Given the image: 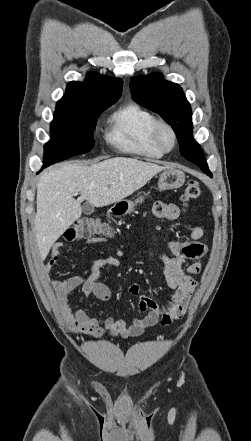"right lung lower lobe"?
Here are the masks:
<instances>
[{"mask_svg":"<svg viewBox=\"0 0 251 441\" xmlns=\"http://www.w3.org/2000/svg\"><path fill=\"white\" fill-rule=\"evenodd\" d=\"M45 167H47L45 164H43V167L42 168H45Z\"/></svg>","mask_w":251,"mask_h":441,"instance_id":"98d812e1","label":"right lung lower lobe"}]
</instances>
